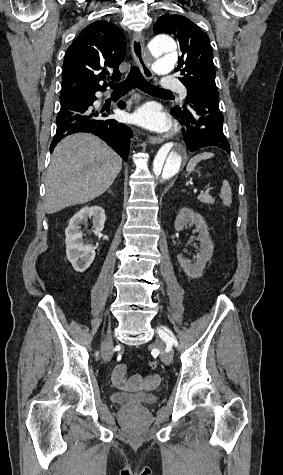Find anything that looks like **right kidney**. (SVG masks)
<instances>
[{
	"label": "right kidney",
	"mask_w": 283,
	"mask_h": 475,
	"mask_svg": "<svg viewBox=\"0 0 283 475\" xmlns=\"http://www.w3.org/2000/svg\"><path fill=\"white\" fill-rule=\"evenodd\" d=\"M92 218V232H102L106 220L105 210L100 206H86L74 214L65 230L66 253L75 271H85L95 257V247L91 243H83L79 228L83 222Z\"/></svg>",
	"instance_id": "obj_1"
}]
</instances>
